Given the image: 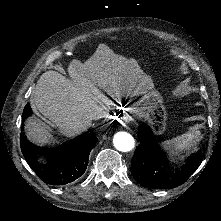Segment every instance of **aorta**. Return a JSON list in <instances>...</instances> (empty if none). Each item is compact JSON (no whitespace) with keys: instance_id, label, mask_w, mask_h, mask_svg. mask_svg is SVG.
Masks as SVG:
<instances>
[{"instance_id":"obj_1","label":"aorta","mask_w":221,"mask_h":221,"mask_svg":"<svg viewBox=\"0 0 221 221\" xmlns=\"http://www.w3.org/2000/svg\"><path fill=\"white\" fill-rule=\"evenodd\" d=\"M113 145L121 152H129L134 148L135 140L131 134L121 131L114 135Z\"/></svg>"}]
</instances>
